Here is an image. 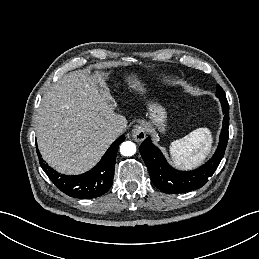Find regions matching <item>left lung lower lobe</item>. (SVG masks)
<instances>
[{"label":"left lung lower lobe","mask_w":259,"mask_h":259,"mask_svg":"<svg viewBox=\"0 0 259 259\" xmlns=\"http://www.w3.org/2000/svg\"><path fill=\"white\" fill-rule=\"evenodd\" d=\"M218 98L224 114L219 145L213 157L200 168L192 171H178L167 163L162 152L152 144L150 137L141 144L140 153L147 166L151 181L162 192L178 194L201 188L216 171L224 156L229 128L228 101L226 96Z\"/></svg>","instance_id":"left-lung-lower-lobe-1"}]
</instances>
